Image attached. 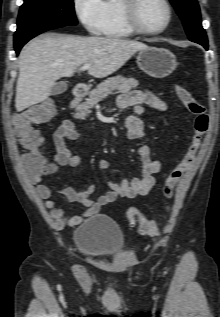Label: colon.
<instances>
[{
	"instance_id": "1",
	"label": "colon",
	"mask_w": 220,
	"mask_h": 317,
	"mask_svg": "<svg viewBox=\"0 0 220 317\" xmlns=\"http://www.w3.org/2000/svg\"><path fill=\"white\" fill-rule=\"evenodd\" d=\"M176 93L188 112L194 116V136L184 157L166 176L163 193L167 198L173 196L177 183L194 162L201 148L203 137L208 131L210 122L204 105H202L186 87L176 85ZM54 114V104L51 101H44L13 117V127L16 136L20 143L27 149V152L24 154L25 162L29 167L35 170H40L44 166L45 158L39 150L42 138L34 128V125L50 120ZM127 217L130 223L136 225L142 234L157 236L161 232V228L154 221L148 219L143 212L136 207H131L127 210Z\"/></svg>"
}]
</instances>
